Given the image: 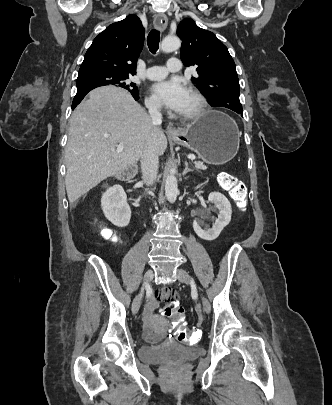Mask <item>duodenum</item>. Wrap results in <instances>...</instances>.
<instances>
[{"mask_svg": "<svg viewBox=\"0 0 332 405\" xmlns=\"http://www.w3.org/2000/svg\"><path fill=\"white\" fill-rule=\"evenodd\" d=\"M131 178H132V174H131V173H128V174L122 175L121 178H120V180H121V181H128V180H130Z\"/></svg>", "mask_w": 332, "mask_h": 405, "instance_id": "1", "label": "duodenum"}]
</instances>
